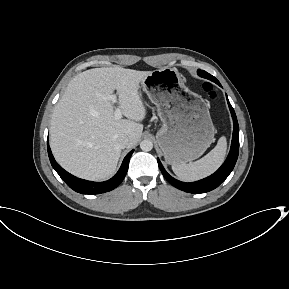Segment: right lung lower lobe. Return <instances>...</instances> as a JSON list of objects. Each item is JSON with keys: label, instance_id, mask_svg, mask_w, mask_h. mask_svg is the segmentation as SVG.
Segmentation results:
<instances>
[{"label": "right lung lower lobe", "instance_id": "1", "mask_svg": "<svg viewBox=\"0 0 289 289\" xmlns=\"http://www.w3.org/2000/svg\"><path fill=\"white\" fill-rule=\"evenodd\" d=\"M48 155L51 162L52 167L55 171L59 174L62 180L74 191L81 193V194H100L104 192H108L116 188L124 179L128 166L129 160L133 153V150L130 151L123 160V163L116 173L114 177L111 179L104 181V182H92L77 178L63 168H61L58 163L55 161L52 152L50 150L49 144L47 143Z\"/></svg>", "mask_w": 289, "mask_h": 289}]
</instances>
